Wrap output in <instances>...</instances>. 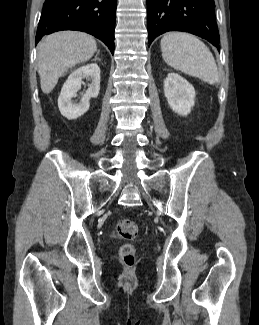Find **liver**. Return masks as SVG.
<instances>
[{
  "label": "liver",
  "mask_w": 259,
  "mask_h": 325,
  "mask_svg": "<svg viewBox=\"0 0 259 325\" xmlns=\"http://www.w3.org/2000/svg\"><path fill=\"white\" fill-rule=\"evenodd\" d=\"M97 51L95 39L82 32L60 31L38 45V74L43 93H50L64 72L88 61Z\"/></svg>",
  "instance_id": "liver-1"
}]
</instances>
